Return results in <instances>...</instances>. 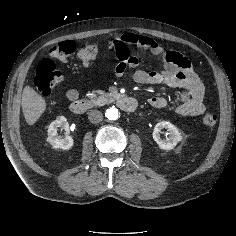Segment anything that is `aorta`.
Wrapping results in <instances>:
<instances>
[{
    "mask_svg": "<svg viewBox=\"0 0 236 236\" xmlns=\"http://www.w3.org/2000/svg\"><path fill=\"white\" fill-rule=\"evenodd\" d=\"M106 117L109 120H117L119 117L118 109L112 107L106 110Z\"/></svg>",
    "mask_w": 236,
    "mask_h": 236,
    "instance_id": "obj_1",
    "label": "aorta"
}]
</instances>
